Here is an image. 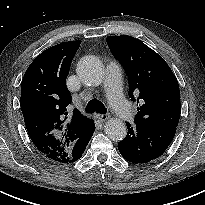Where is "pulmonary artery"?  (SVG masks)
I'll return each mask as SVG.
<instances>
[{
  "mask_svg": "<svg viewBox=\"0 0 205 205\" xmlns=\"http://www.w3.org/2000/svg\"><path fill=\"white\" fill-rule=\"evenodd\" d=\"M104 83L107 87V99L111 106L117 111L120 120L128 123L132 119L130 104L121 93V73L120 66L115 62L107 65Z\"/></svg>",
  "mask_w": 205,
  "mask_h": 205,
  "instance_id": "obj_1",
  "label": "pulmonary artery"
}]
</instances>
